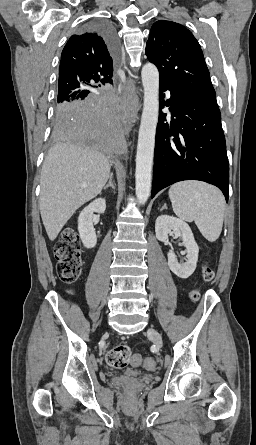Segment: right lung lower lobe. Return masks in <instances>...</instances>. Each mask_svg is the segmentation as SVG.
I'll return each instance as SVG.
<instances>
[{
	"instance_id": "98d812e1",
	"label": "right lung lower lobe",
	"mask_w": 256,
	"mask_h": 445,
	"mask_svg": "<svg viewBox=\"0 0 256 445\" xmlns=\"http://www.w3.org/2000/svg\"><path fill=\"white\" fill-rule=\"evenodd\" d=\"M87 28L99 32L118 58L119 47L110 25L93 22ZM54 132L61 139L90 147L110 158H120L125 152L118 120V99L113 95L85 94L72 97L56 111Z\"/></svg>"
}]
</instances>
